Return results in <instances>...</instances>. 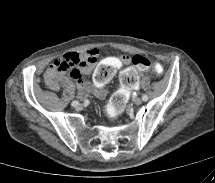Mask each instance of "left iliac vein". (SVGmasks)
Instances as JSON below:
<instances>
[{
	"label": "left iliac vein",
	"mask_w": 215,
	"mask_h": 183,
	"mask_svg": "<svg viewBox=\"0 0 215 183\" xmlns=\"http://www.w3.org/2000/svg\"><path fill=\"white\" fill-rule=\"evenodd\" d=\"M134 103H135L136 105H139V104L142 103V99H141V98H135V99H134Z\"/></svg>",
	"instance_id": "4c4485c4"
}]
</instances>
